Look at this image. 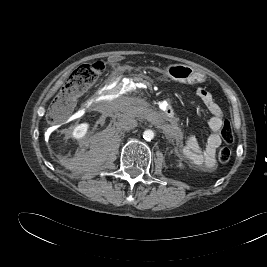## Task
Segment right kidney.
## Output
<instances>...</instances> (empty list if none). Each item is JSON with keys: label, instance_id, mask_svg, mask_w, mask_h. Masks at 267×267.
Returning a JSON list of instances; mask_svg holds the SVG:
<instances>
[{"label": "right kidney", "instance_id": "obj_1", "mask_svg": "<svg viewBox=\"0 0 267 267\" xmlns=\"http://www.w3.org/2000/svg\"><path fill=\"white\" fill-rule=\"evenodd\" d=\"M88 128H89L88 123H81L74 128L72 136L75 139H81L86 135Z\"/></svg>", "mask_w": 267, "mask_h": 267}]
</instances>
